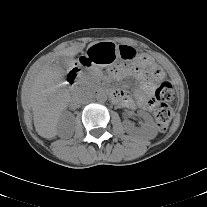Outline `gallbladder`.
Returning a JSON list of instances; mask_svg holds the SVG:
<instances>
[{
	"mask_svg": "<svg viewBox=\"0 0 207 207\" xmlns=\"http://www.w3.org/2000/svg\"><path fill=\"white\" fill-rule=\"evenodd\" d=\"M73 58L68 56H59L58 57V63L63 68H69L72 65Z\"/></svg>",
	"mask_w": 207,
	"mask_h": 207,
	"instance_id": "bac80fb5",
	"label": "gallbladder"
}]
</instances>
